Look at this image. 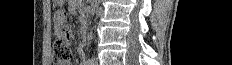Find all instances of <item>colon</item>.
Listing matches in <instances>:
<instances>
[{
  "label": "colon",
  "mask_w": 232,
  "mask_h": 65,
  "mask_svg": "<svg viewBox=\"0 0 232 65\" xmlns=\"http://www.w3.org/2000/svg\"><path fill=\"white\" fill-rule=\"evenodd\" d=\"M69 41L70 40H67V37H62L54 42L53 60L56 64H64L72 58V51L70 49Z\"/></svg>",
  "instance_id": "obj_1"
}]
</instances>
